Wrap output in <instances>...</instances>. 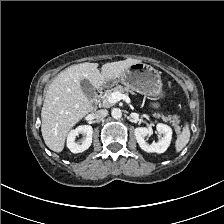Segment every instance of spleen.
<instances>
[{
  "label": "spleen",
  "mask_w": 224,
  "mask_h": 224,
  "mask_svg": "<svg viewBox=\"0 0 224 224\" xmlns=\"http://www.w3.org/2000/svg\"><path fill=\"white\" fill-rule=\"evenodd\" d=\"M189 139H190L189 125L188 123H185L182 132L178 135L175 142L176 152H180L187 145Z\"/></svg>",
  "instance_id": "obj_1"
}]
</instances>
